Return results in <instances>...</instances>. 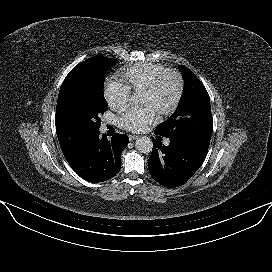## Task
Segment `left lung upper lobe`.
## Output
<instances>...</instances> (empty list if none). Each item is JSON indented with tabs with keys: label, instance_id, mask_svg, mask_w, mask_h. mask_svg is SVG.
Wrapping results in <instances>:
<instances>
[{
	"label": "left lung upper lobe",
	"instance_id": "1",
	"mask_svg": "<svg viewBox=\"0 0 272 272\" xmlns=\"http://www.w3.org/2000/svg\"><path fill=\"white\" fill-rule=\"evenodd\" d=\"M185 82L178 109L156 128L164 137L210 142L213 130L210 99L202 82L185 66H180Z\"/></svg>",
	"mask_w": 272,
	"mask_h": 272
}]
</instances>
